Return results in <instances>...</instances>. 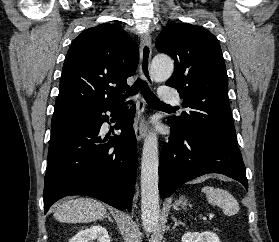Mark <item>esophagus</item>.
<instances>
[{
	"mask_svg": "<svg viewBox=\"0 0 279 242\" xmlns=\"http://www.w3.org/2000/svg\"><path fill=\"white\" fill-rule=\"evenodd\" d=\"M152 54V42L151 37L148 34H144L140 39V65L139 75L140 78L146 81L149 85L153 84V79L150 74V60ZM146 104L143 97L140 95L138 99L137 114L135 118V134L137 141H141L146 136Z\"/></svg>",
	"mask_w": 279,
	"mask_h": 242,
	"instance_id": "obj_1",
	"label": "esophagus"
}]
</instances>
